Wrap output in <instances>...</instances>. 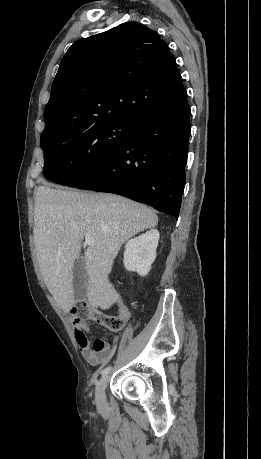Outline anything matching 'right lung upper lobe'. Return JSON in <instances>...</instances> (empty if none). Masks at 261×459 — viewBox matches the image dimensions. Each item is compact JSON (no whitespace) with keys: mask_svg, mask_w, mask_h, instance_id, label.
I'll list each match as a JSON object with an SVG mask.
<instances>
[{"mask_svg":"<svg viewBox=\"0 0 261 459\" xmlns=\"http://www.w3.org/2000/svg\"><path fill=\"white\" fill-rule=\"evenodd\" d=\"M185 91L159 34L137 22L124 23L68 49L44 110L43 133L80 131L112 120L137 122Z\"/></svg>","mask_w":261,"mask_h":459,"instance_id":"right-lung-upper-lobe-1","label":"right lung upper lobe"}]
</instances>
